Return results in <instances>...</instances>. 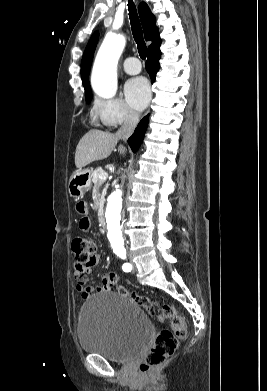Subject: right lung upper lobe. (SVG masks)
Wrapping results in <instances>:
<instances>
[{
    "label": "right lung upper lobe",
    "mask_w": 267,
    "mask_h": 391,
    "mask_svg": "<svg viewBox=\"0 0 267 391\" xmlns=\"http://www.w3.org/2000/svg\"><path fill=\"white\" fill-rule=\"evenodd\" d=\"M139 16L144 30L145 39L147 41H152V44L148 47V53L153 52L159 49L161 44V39L159 37L158 29L156 27L155 16L151 13L148 5L144 2L139 5ZM98 38L99 33L95 32L87 44L81 62V77L85 92L91 91L88 78Z\"/></svg>",
    "instance_id": "cb5924a9"
}]
</instances>
